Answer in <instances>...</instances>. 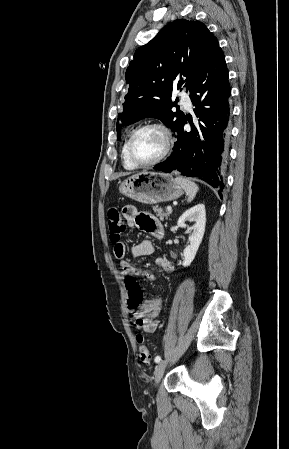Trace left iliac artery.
<instances>
[{
  "mask_svg": "<svg viewBox=\"0 0 289 449\" xmlns=\"http://www.w3.org/2000/svg\"><path fill=\"white\" fill-rule=\"evenodd\" d=\"M154 361H155L156 363H159V362L161 361V357H160V356H156L155 359H154Z\"/></svg>",
  "mask_w": 289,
  "mask_h": 449,
  "instance_id": "left-iliac-artery-1",
  "label": "left iliac artery"
}]
</instances>
